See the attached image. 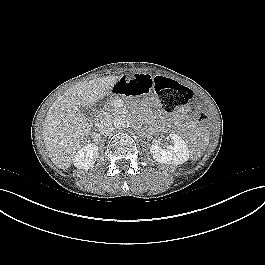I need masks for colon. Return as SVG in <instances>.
<instances>
[{
  "label": "colon",
  "instance_id": "1",
  "mask_svg": "<svg viewBox=\"0 0 265 265\" xmlns=\"http://www.w3.org/2000/svg\"><path fill=\"white\" fill-rule=\"evenodd\" d=\"M154 88L162 107L168 112L188 104L192 99V92L187 87L166 77H156ZM195 120L201 127L206 129L211 125L210 115L206 108H200L196 111Z\"/></svg>",
  "mask_w": 265,
  "mask_h": 265
}]
</instances>
